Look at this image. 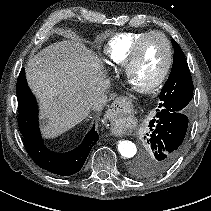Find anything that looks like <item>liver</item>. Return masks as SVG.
<instances>
[{"label": "liver", "mask_w": 211, "mask_h": 211, "mask_svg": "<svg viewBox=\"0 0 211 211\" xmlns=\"http://www.w3.org/2000/svg\"><path fill=\"white\" fill-rule=\"evenodd\" d=\"M26 77L39 100L45 138L68 131L107 101L104 91L110 82L102 64L80 41H58L42 49L29 59Z\"/></svg>", "instance_id": "1"}]
</instances>
